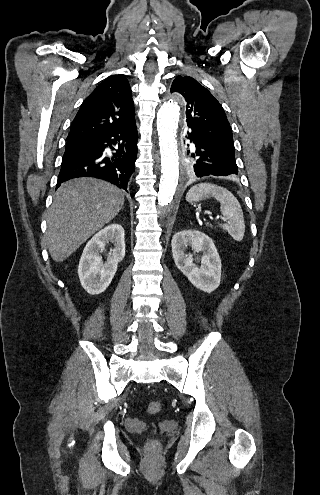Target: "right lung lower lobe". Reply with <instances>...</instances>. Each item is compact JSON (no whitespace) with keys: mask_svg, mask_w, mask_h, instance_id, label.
<instances>
[{"mask_svg":"<svg viewBox=\"0 0 320 495\" xmlns=\"http://www.w3.org/2000/svg\"><path fill=\"white\" fill-rule=\"evenodd\" d=\"M136 123L67 141L58 176L60 183L77 177H96L127 191L130 176L135 170L137 155ZM118 145L116 153L108 157L105 149Z\"/></svg>","mask_w":320,"mask_h":495,"instance_id":"right-lung-lower-lobe-1","label":"right lung lower lobe"}]
</instances>
